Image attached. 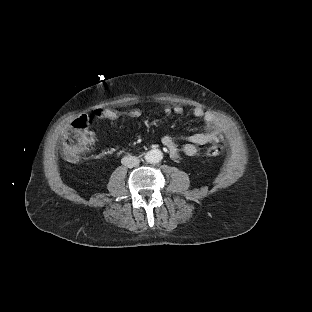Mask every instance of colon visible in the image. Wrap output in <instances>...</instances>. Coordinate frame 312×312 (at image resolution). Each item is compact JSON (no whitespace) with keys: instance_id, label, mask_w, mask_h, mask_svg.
Here are the masks:
<instances>
[{"instance_id":"1","label":"colon","mask_w":312,"mask_h":312,"mask_svg":"<svg viewBox=\"0 0 312 312\" xmlns=\"http://www.w3.org/2000/svg\"><path fill=\"white\" fill-rule=\"evenodd\" d=\"M95 119H102L101 111L93 113ZM72 129L65 136L64 139V153L65 157L71 161H79L84 154L93 148L95 143L94 135L87 129L88 123L84 117L78 116L72 120ZM209 155L216 156L220 153V148L216 145L210 146L207 149Z\"/></svg>"}]
</instances>
